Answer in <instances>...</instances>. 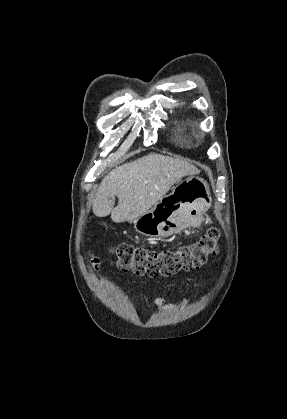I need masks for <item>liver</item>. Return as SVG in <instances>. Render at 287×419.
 <instances>
[{
  "label": "liver",
  "instance_id": "6515ba94",
  "mask_svg": "<svg viewBox=\"0 0 287 419\" xmlns=\"http://www.w3.org/2000/svg\"><path fill=\"white\" fill-rule=\"evenodd\" d=\"M199 170L188 160L151 153L116 167L100 183L93 200L97 217L121 223L149 211L182 177ZM115 196L118 205H115Z\"/></svg>",
  "mask_w": 287,
  "mask_h": 419
}]
</instances>
